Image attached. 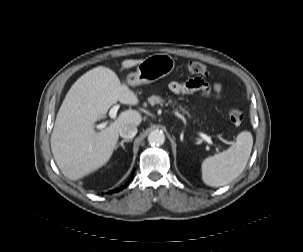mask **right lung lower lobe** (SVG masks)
I'll return each mask as SVG.
<instances>
[{
    "instance_id": "right-lung-lower-lobe-1",
    "label": "right lung lower lobe",
    "mask_w": 303,
    "mask_h": 252,
    "mask_svg": "<svg viewBox=\"0 0 303 252\" xmlns=\"http://www.w3.org/2000/svg\"><path fill=\"white\" fill-rule=\"evenodd\" d=\"M133 174H134V171H133ZM131 179H132V177H131ZM131 179H130V180H131ZM128 184H129V183L127 182L124 186H122V187H120L119 189L114 190V191H112V192L120 191V190L124 189Z\"/></svg>"
}]
</instances>
